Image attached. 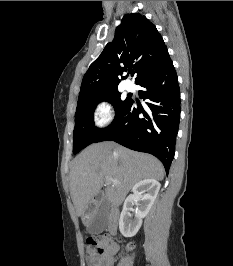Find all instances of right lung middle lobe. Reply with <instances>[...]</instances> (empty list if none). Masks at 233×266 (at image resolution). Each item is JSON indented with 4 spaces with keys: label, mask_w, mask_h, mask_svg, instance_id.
<instances>
[{
    "label": "right lung middle lobe",
    "mask_w": 233,
    "mask_h": 266,
    "mask_svg": "<svg viewBox=\"0 0 233 266\" xmlns=\"http://www.w3.org/2000/svg\"><path fill=\"white\" fill-rule=\"evenodd\" d=\"M108 101L115 108V119L126 109L131 99L121 100L118 89H112L96 93L78 100L75 113V128L73 132V153H78L86 146L94 143L106 130L98 129L94 125L93 114L97 104ZM114 123V122H113Z\"/></svg>",
    "instance_id": "right-lung-middle-lobe-1"
}]
</instances>
